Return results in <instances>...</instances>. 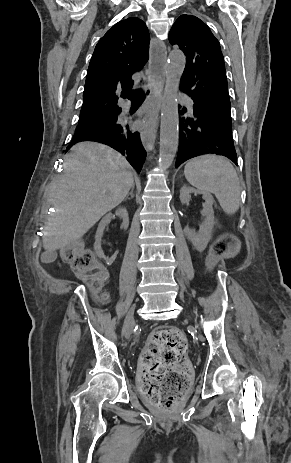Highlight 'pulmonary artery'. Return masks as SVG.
Returning a JSON list of instances; mask_svg holds the SVG:
<instances>
[{
  "mask_svg": "<svg viewBox=\"0 0 291 463\" xmlns=\"http://www.w3.org/2000/svg\"><path fill=\"white\" fill-rule=\"evenodd\" d=\"M184 101L187 104L189 111L192 112V105H193L192 100L190 98H188V97H184ZM127 107L128 106L126 104H123L124 109H126Z\"/></svg>",
  "mask_w": 291,
  "mask_h": 463,
  "instance_id": "e3ab8cb5",
  "label": "pulmonary artery"
}]
</instances>
